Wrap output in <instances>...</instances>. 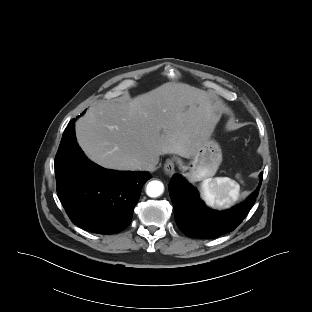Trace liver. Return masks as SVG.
<instances>
[{"instance_id": "1", "label": "liver", "mask_w": 312, "mask_h": 312, "mask_svg": "<svg viewBox=\"0 0 312 312\" xmlns=\"http://www.w3.org/2000/svg\"><path fill=\"white\" fill-rule=\"evenodd\" d=\"M222 109L208 92L168 82L127 103L101 100L76 122L77 141L98 165L140 170L163 154L192 158L208 140Z\"/></svg>"}]
</instances>
